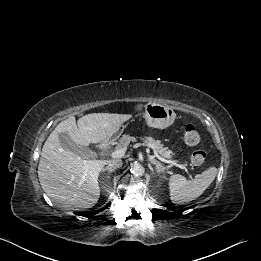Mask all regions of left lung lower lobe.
Here are the masks:
<instances>
[{"label":"left lung lower lobe","mask_w":261,"mask_h":261,"mask_svg":"<svg viewBox=\"0 0 261 261\" xmlns=\"http://www.w3.org/2000/svg\"><path fill=\"white\" fill-rule=\"evenodd\" d=\"M192 207H194V206H192ZM192 207H191V208H192ZM185 210H186V209H185ZM182 211H184V210H178V212H182Z\"/></svg>","instance_id":"1"}]
</instances>
